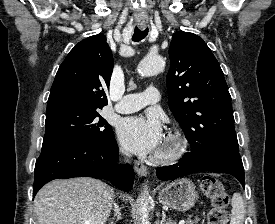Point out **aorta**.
<instances>
[{
  "mask_svg": "<svg viewBox=\"0 0 275 224\" xmlns=\"http://www.w3.org/2000/svg\"><path fill=\"white\" fill-rule=\"evenodd\" d=\"M164 59L159 55L147 56L138 65V72L142 76H150L163 70ZM149 191L145 186L139 197V220L138 224H150L149 221Z\"/></svg>",
  "mask_w": 275,
  "mask_h": 224,
  "instance_id": "762f6f07",
  "label": "aorta"
}]
</instances>
